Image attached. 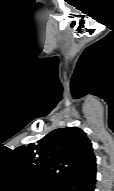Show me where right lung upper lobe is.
<instances>
[{
	"mask_svg": "<svg viewBox=\"0 0 114 191\" xmlns=\"http://www.w3.org/2000/svg\"><path fill=\"white\" fill-rule=\"evenodd\" d=\"M15 151L24 165L51 188L57 189L96 169L91 142L77 127L53 130L36 143L20 146Z\"/></svg>",
	"mask_w": 114,
	"mask_h": 191,
	"instance_id": "cb5924a9",
	"label": "right lung upper lobe"
}]
</instances>
